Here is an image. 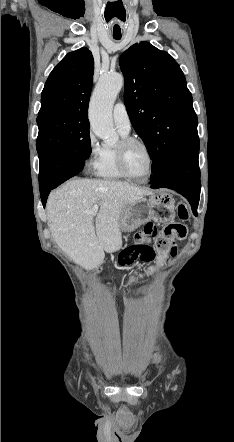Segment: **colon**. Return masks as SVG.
Listing matches in <instances>:
<instances>
[{"mask_svg":"<svg viewBox=\"0 0 234 442\" xmlns=\"http://www.w3.org/2000/svg\"><path fill=\"white\" fill-rule=\"evenodd\" d=\"M178 216L182 221L189 218V213L184 204L178 205ZM187 235V227L181 222L171 223L162 230L149 223L143 231L135 237L136 243L123 249L118 257L120 266H127L136 260L151 262L156 258L157 253L166 254L173 249L176 240H183ZM154 238V247L149 244V239ZM155 268H150L147 273L151 274ZM141 277V275L139 276Z\"/></svg>","mask_w":234,"mask_h":442,"instance_id":"colon-1","label":"colon"}]
</instances>
